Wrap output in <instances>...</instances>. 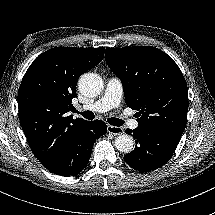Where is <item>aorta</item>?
I'll list each match as a JSON object with an SVG mask.
<instances>
[{
  "label": "aorta",
  "instance_id": "aorta-1",
  "mask_svg": "<svg viewBox=\"0 0 215 215\" xmlns=\"http://www.w3.org/2000/svg\"><path fill=\"white\" fill-rule=\"evenodd\" d=\"M79 88L85 96L99 95L102 90L100 77L94 73H84L79 79ZM114 146L122 153H130L134 150L135 142L132 136L121 134L114 139Z\"/></svg>",
  "mask_w": 215,
  "mask_h": 215
}]
</instances>
